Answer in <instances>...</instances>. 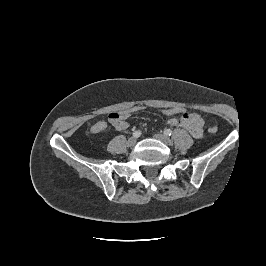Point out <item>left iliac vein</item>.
<instances>
[{"label": "left iliac vein", "instance_id": "obj_1", "mask_svg": "<svg viewBox=\"0 0 266 266\" xmlns=\"http://www.w3.org/2000/svg\"><path fill=\"white\" fill-rule=\"evenodd\" d=\"M154 137H155L156 139L160 140L161 142H163V143L166 144V145H171V143H172V140H171L168 136H166V135H164V134L156 133V134L154 135Z\"/></svg>", "mask_w": 266, "mask_h": 266}]
</instances>
